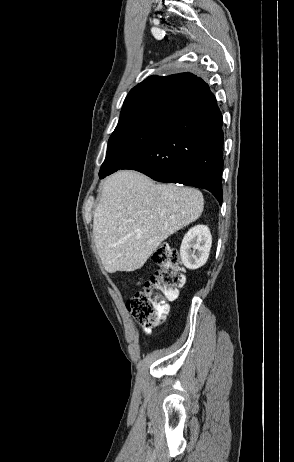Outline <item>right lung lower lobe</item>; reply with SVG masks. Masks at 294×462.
<instances>
[{"instance_id": "right-lung-lower-lobe-1", "label": "right lung lower lobe", "mask_w": 294, "mask_h": 462, "mask_svg": "<svg viewBox=\"0 0 294 462\" xmlns=\"http://www.w3.org/2000/svg\"><path fill=\"white\" fill-rule=\"evenodd\" d=\"M185 99L186 106L170 125L120 169L137 170L160 182L207 189L221 205L224 164L221 112L210 89L201 95L187 94Z\"/></svg>"}]
</instances>
